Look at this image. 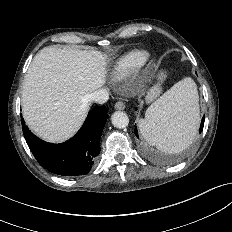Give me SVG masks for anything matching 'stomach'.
<instances>
[{"mask_svg":"<svg viewBox=\"0 0 232 232\" xmlns=\"http://www.w3.org/2000/svg\"><path fill=\"white\" fill-rule=\"evenodd\" d=\"M164 76H165L164 73H161L158 77L159 82L147 91L145 97L146 102L150 103L160 95L162 91L160 82L163 80Z\"/></svg>","mask_w":232,"mask_h":232,"instance_id":"obj_1","label":"stomach"}]
</instances>
